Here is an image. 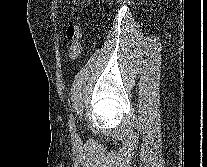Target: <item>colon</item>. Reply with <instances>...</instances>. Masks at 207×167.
<instances>
[{"instance_id": "obj_1", "label": "colon", "mask_w": 207, "mask_h": 167, "mask_svg": "<svg viewBox=\"0 0 207 167\" xmlns=\"http://www.w3.org/2000/svg\"><path fill=\"white\" fill-rule=\"evenodd\" d=\"M77 0H73L75 6ZM67 38L70 40L68 57L70 61H76L81 53V24L77 21L72 22L66 30Z\"/></svg>"}]
</instances>
